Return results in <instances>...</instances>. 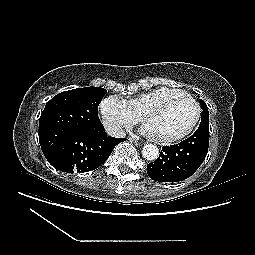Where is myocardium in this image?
Instances as JSON below:
<instances>
[{"label":"myocardium","mask_w":255,"mask_h":255,"mask_svg":"<svg viewBox=\"0 0 255 255\" xmlns=\"http://www.w3.org/2000/svg\"><path fill=\"white\" fill-rule=\"evenodd\" d=\"M175 97H182V98H185L186 100L190 101L195 107V117H194L192 123L190 124V126L186 130H184L183 132H181L179 134L171 135V136H153L154 140H156L158 142H175V141L181 140V139L185 138L186 136H188L190 133H192L200 121L201 106H200L199 102L192 95H190L189 93L182 91V90H177V91L168 93V94L164 95L163 97L159 98L153 104H151L141 115V121L145 122L146 117L151 112L158 109L163 104H165L166 102H168L169 100H171Z\"/></svg>","instance_id":"obj_1"}]
</instances>
